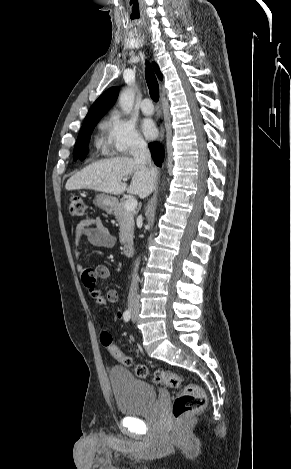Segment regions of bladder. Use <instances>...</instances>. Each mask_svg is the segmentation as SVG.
Here are the masks:
<instances>
[{"instance_id": "bladder-1", "label": "bladder", "mask_w": 291, "mask_h": 469, "mask_svg": "<svg viewBox=\"0 0 291 469\" xmlns=\"http://www.w3.org/2000/svg\"><path fill=\"white\" fill-rule=\"evenodd\" d=\"M109 380L120 414L139 416L152 409L157 394L150 383L135 377L122 366L110 369Z\"/></svg>"}]
</instances>
